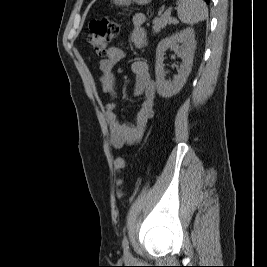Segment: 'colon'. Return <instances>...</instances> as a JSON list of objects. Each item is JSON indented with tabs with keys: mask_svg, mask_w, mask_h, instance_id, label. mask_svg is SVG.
<instances>
[{
	"mask_svg": "<svg viewBox=\"0 0 267 267\" xmlns=\"http://www.w3.org/2000/svg\"><path fill=\"white\" fill-rule=\"evenodd\" d=\"M89 43L92 49L99 55H106L109 51V45L118 32V24L108 17L93 19L89 24ZM114 166L117 171L125 168L126 162L123 158H116ZM120 184V181H118ZM120 196L121 193L118 192Z\"/></svg>",
	"mask_w": 267,
	"mask_h": 267,
	"instance_id": "1",
	"label": "colon"
}]
</instances>
